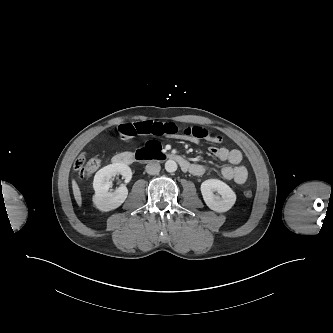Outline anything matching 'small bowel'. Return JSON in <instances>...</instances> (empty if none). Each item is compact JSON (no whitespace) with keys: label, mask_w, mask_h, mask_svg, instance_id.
<instances>
[{"label":"small bowel","mask_w":333,"mask_h":333,"mask_svg":"<svg viewBox=\"0 0 333 333\" xmlns=\"http://www.w3.org/2000/svg\"><path fill=\"white\" fill-rule=\"evenodd\" d=\"M158 135L177 138L198 144L201 139H206L212 143H220L221 137L211 133L209 130L200 126H180L174 122H154L144 121L120 125L114 137H119L124 141H129L136 136L141 135ZM210 153L221 161L229 162V165L221 169V175L225 180H233L237 184H243L248 178V170L241 165L242 154L237 149H228L226 147L212 146L209 148ZM207 168L201 164H193L190 171L195 176H201Z\"/></svg>","instance_id":"small-bowel-1"}]
</instances>
